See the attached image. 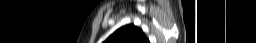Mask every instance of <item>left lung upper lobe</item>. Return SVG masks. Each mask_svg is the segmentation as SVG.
Instances as JSON below:
<instances>
[{"label": "left lung upper lobe", "mask_w": 256, "mask_h": 43, "mask_svg": "<svg viewBox=\"0 0 256 43\" xmlns=\"http://www.w3.org/2000/svg\"><path fill=\"white\" fill-rule=\"evenodd\" d=\"M105 43H149L141 29L127 25L115 31Z\"/></svg>", "instance_id": "left-lung-upper-lobe-1"}]
</instances>
